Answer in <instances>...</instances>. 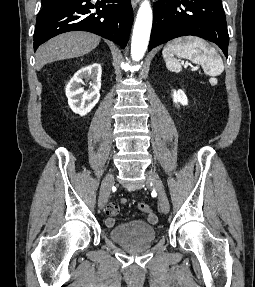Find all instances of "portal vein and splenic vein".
Returning a JSON list of instances; mask_svg holds the SVG:
<instances>
[{"instance_id":"1","label":"portal vein and splenic vein","mask_w":255,"mask_h":287,"mask_svg":"<svg viewBox=\"0 0 255 287\" xmlns=\"http://www.w3.org/2000/svg\"><path fill=\"white\" fill-rule=\"evenodd\" d=\"M187 66H189V64H185L184 68H187Z\"/></svg>"}]
</instances>
